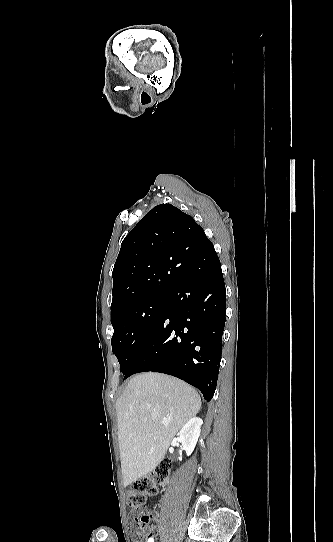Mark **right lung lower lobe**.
Returning a JSON list of instances; mask_svg holds the SVG:
<instances>
[{
    "mask_svg": "<svg viewBox=\"0 0 333 542\" xmlns=\"http://www.w3.org/2000/svg\"><path fill=\"white\" fill-rule=\"evenodd\" d=\"M171 257L184 278L168 292L165 312L124 379L145 371L173 375L210 401L217 385L226 316L221 264L212 243Z\"/></svg>",
    "mask_w": 333,
    "mask_h": 542,
    "instance_id": "1",
    "label": "right lung lower lobe"
}]
</instances>
